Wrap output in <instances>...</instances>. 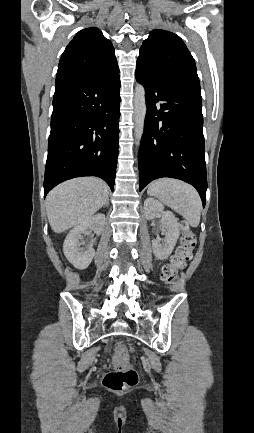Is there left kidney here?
<instances>
[{"label": "left kidney", "mask_w": 254, "mask_h": 433, "mask_svg": "<svg viewBox=\"0 0 254 433\" xmlns=\"http://www.w3.org/2000/svg\"><path fill=\"white\" fill-rule=\"evenodd\" d=\"M157 213L162 214V229L165 232L164 240H152L155 256L160 260L167 259L172 253L180 235L178 219L171 211H164V206L153 198L144 201V215L147 220L155 218Z\"/></svg>", "instance_id": "obj_1"}]
</instances>
